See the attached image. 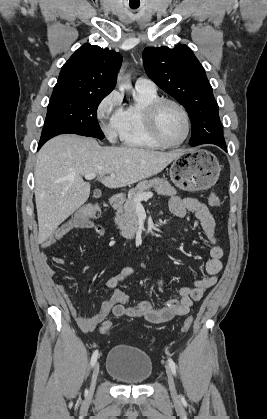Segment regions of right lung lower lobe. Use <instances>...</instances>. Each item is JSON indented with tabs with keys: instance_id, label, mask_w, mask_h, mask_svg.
I'll use <instances>...</instances> for the list:
<instances>
[{
	"instance_id": "right-lung-lower-lobe-1",
	"label": "right lung lower lobe",
	"mask_w": 267,
	"mask_h": 419,
	"mask_svg": "<svg viewBox=\"0 0 267 419\" xmlns=\"http://www.w3.org/2000/svg\"><path fill=\"white\" fill-rule=\"evenodd\" d=\"M59 134H61L60 132H57V131H54V130H50V129H48V130H44L43 129V131H42V135H41V138H40V142H39V145H38V149H40L41 148V146L47 141V140H49L50 138H52V137H54V136H56V135H59Z\"/></svg>"
}]
</instances>
